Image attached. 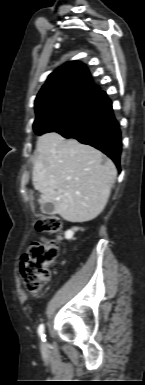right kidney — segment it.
Masks as SVG:
<instances>
[{
    "mask_svg": "<svg viewBox=\"0 0 145 385\" xmlns=\"http://www.w3.org/2000/svg\"><path fill=\"white\" fill-rule=\"evenodd\" d=\"M78 228H73L71 230H68L65 232V238L68 239V240H71L73 239V235H74V232L77 231Z\"/></svg>",
    "mask_w": 145,
    "mask_h": 385,
    "instance_id": "right-kidney-1",
    "label": "right kidney"
}]
</instances>
